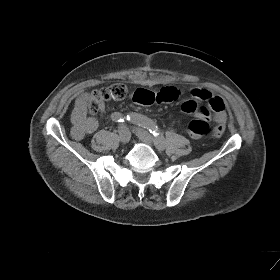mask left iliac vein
<instances>
[{
    "label": "left iliac vein",
    "mask_w": 280,
    "mask_h": 280,
    "mask_svg": "<svg viewBox=\"0 0 280 280\" xmlns=\"http://www.w3.org/2000/svg\"><path fill=\"white\" fill-rule=\"evenodd\" d=\"M134 131L142 142H144L150 146L153 145L154 140H153L152 136L146 130H144L142 128H135ZM157 147L159 150L164 149V146H157Z\"/></svg>",
    "instance_id": "left-iliac-vein-1"
}]
</instances>
